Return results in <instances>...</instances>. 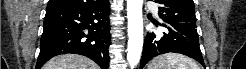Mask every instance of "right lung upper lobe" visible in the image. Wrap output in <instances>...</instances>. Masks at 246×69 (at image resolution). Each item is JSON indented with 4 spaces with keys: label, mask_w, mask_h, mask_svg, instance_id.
<instances>
[{
    "label": "right lung upper lobe",
    "mask_w": 246,
    "mask_h": 69,
    "mask_svg": "<svg viewBox=\"0 0 246 69\" xmlns=\"http://www.w3.org/2000/svg\"><path fill=\"white\" fill-rule=\"evenodd\" d=\"M105 0H49L47 9L60 6L82 7L102 3Z\"/></svg>",
    "instance_id": "right-lung-upper-lobe-1"
}]
</instances>
